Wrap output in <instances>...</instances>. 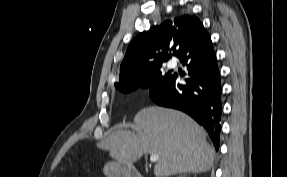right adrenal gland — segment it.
I'll return each instance as SVG.
<instances>
[{
  "mask_svg": "<svg viewBox=\"0 0 287 177\" xmlns=\"http://www.w3.org/2000/svg\"><path fill=\"white\" fill-rule=\"evenodd\" d=\"M178 177H185V175H179Z\"/></svg>",
  "mask_w": 287,
  "mask_h": 177,
  "instance_id": "obj_1",
  "label": "right adrenal gland"
}]
</instances>
